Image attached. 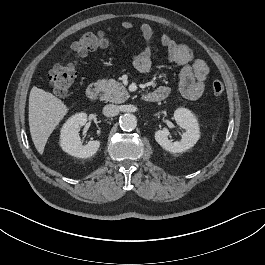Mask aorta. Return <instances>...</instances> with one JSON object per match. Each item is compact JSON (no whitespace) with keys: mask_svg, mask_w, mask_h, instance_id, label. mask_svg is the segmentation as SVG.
<instances>
[{"mask_svg":"<svg viewBox=\"0 0 265 265\" xmlns=\"http://www.w3.org/2000/svg\"><path fill=\"white\" fill-rule=\"evenodd\" d=\"M137 125L136 116L133 114H124L120 118V127L123 131H132Z\"/></svg>","mask_w":265,"mask_h":265,"instance_id":"aorta-1","label":"aorta"}]
</instances>
